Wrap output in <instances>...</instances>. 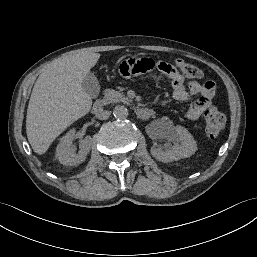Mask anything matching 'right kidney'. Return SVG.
Segmentation results:
<instances>
[{
  "mask_svg": "<svg viewBox=\"0 0 257 257\" xmlns=\"http://www.w3.org/2000/svg\"><path fill=\"white\" fill-rule=\"evenodd\" d=\"M75 139V129H71L65 136L62 137L60 143L56 148V158L63 165H78L82 163L91 148V137L86 136L80 142V150L76 153L73 148V141Z\"/></svg>",
  "mask_w": 257,
  "mask_h": 257,
  "instance_id": "obj_1",
  "label": "right kidney"
}]
</instances>
